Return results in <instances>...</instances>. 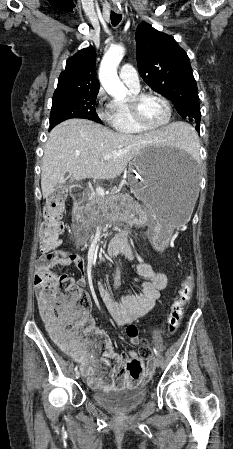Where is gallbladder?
I'll return each mask as SVG.
<instances>
[{
	"label": "gallbladder",
	"instance_id": "gallbladder-1",
	"mask_svg": "<svg viewBox=\"0 0 233 449\" xmlns=\"http://www.w3.org/2000/svg\"><path fill=\"white\" fill-rule=\"evenodd\" d=\"M66 179H68V177H66L65 179H63V181H65ZM55 194H57V195H59V196H64V195H65V192H64V191H61V190H57V191L55 192Z\"/></svg>",
	"mask_w": 233,
	"mask_h": 449
}]
</instances>
